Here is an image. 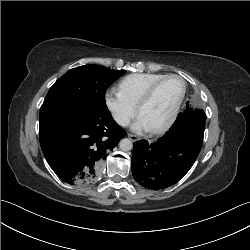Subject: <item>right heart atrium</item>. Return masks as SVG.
<instances>
[{"label":"right heart atrium","instance_id":"obj_1","mask_svg":"<svg viewBox=\"0 0 250 250\" xmlns=\"http://www.w3.org/2000/svg\"><path fill=\"white\" fill-rule=\"evenodd\" d=\"M105 103L114 121L122 127L127 126L136 115V106L116 89H109L106 92Z\"/></svg>","mask_w":250,"mask_h":250}]
</instances>
